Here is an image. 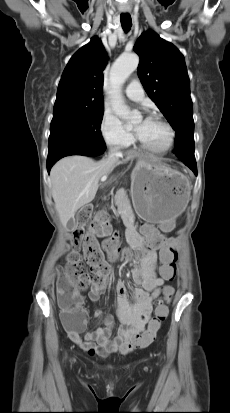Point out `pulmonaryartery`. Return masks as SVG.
Here are the masks:
<instances>
[{
	"instance_id": "obj_1",
	"label": "pulmonary artery",
	"mask_w": 230,
	"mask_h": 413,
	"mask_svg": "<svg viewBox=\"0 0 230 413\" xmlns=\"http://www.w3.org/2000/svg\"><path fill=\"white\" fill-rule=\"evenodd\" d=\"M126 96L134 101H141L144 97V90L141 86L139 79H132L125 88Z\"/></svg>"
}]
</instances>
